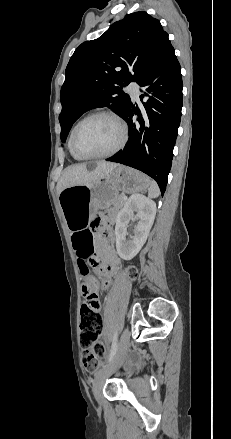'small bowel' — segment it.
<instances>
[{
  "label": "small bowel",
  "instance_id": "c3829d8e",
  "mask_svg": "<svg viewBox=\"0 0 231 439\" xmlns=\"http://www.w3.org/2000/svg\"><path fill=\"white\" fill-rule=\"evenodd\" d=\"M111 217L109 218V220ZM100 220L97 221V224ZM112 233L109 238H112ZM71 242L76 256L78 266L81 271L86 268L87 262L91 259L95 252L102 261L100 271V282L103 289H107L111 285L112 276L117 272L120 261L116 255L113 244L110 239H95L93 233L88 229H75L71 235ZM91 285V289H85V285ZM83 293L86 296L84 304L89 305L95 311L101 310V304L94 289V283L88 280L83 285ZM83 304V305H84Z\"/></svg>",
  "mask_w": 231,
  "mask_h": 439
}]
</instances>
